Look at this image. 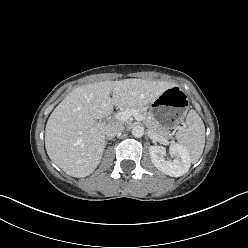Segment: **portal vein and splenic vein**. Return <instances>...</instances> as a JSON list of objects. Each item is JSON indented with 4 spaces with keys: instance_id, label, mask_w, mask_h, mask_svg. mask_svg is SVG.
<instances>
[{
    "instance_id": "18ae733b",
    "label": "portal vein and splenic vein",
    "mask_w": 248,
    "mask_h": 248,
    "mask_svg": "<svg viewBox=\"0 0 248 248\" xmlns=\"http://www.w3.org/2000/svg\"><path fill=\"white\" fill-rule=\"evenodd\" d=\"M131 116H134V118L138 121L142 120V116L139 114V112L136 109L133 108L115 114V118L118 121H127Z\"/></svg>"
}]
</instances>
